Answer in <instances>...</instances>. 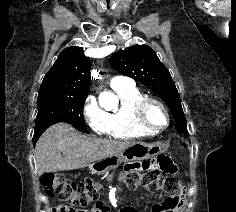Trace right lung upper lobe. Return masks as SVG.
I'll list each match as a JSON object with an SVG mask.
<instances>
[{
	"label": "right lung upper lobe",
	"instance_id": "cb5924a9",
	"mask_svg": "<svg viewBox=\"0 0 236 212\" xmlns=\"http://www.w3.org/2000/svg\"><path fill=\"white\" fill-rule=\"evenodd\" d=\"M81 47L65 48L45 75L38 98L88 95L91 63Z\"/></svg>",
	"mask_w": 236,
	"mask_h": 212
}]
</instances>
